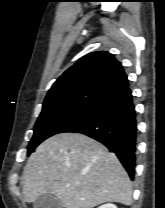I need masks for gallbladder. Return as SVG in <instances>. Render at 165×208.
I'll return each mask as SVG.
<instances>
[{
    "label": "gallbladder",
    "instance_id": "bac80fb5",
    "mask_svg": "<svg viewBox=\"0 0 165 208\" xmlns=\"http://www.w3.org/2000/svg\"><path fill=\"white\" fill-rule=\"evenodd\" d=\"M34 208H63L62 201L53 194H42L33 203Z\"/></svg>",
    "mask_w": 165,
    "mask_h": 208
}]
</instances>
